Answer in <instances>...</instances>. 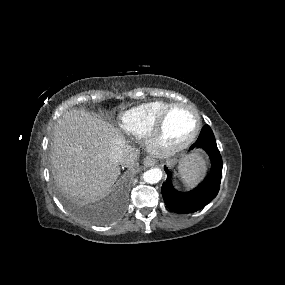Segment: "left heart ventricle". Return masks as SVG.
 <instances>
[{"label": "left heart ventricle", "instance_id": "obj_1", "mask_svg": "<svg viewBox=\"0 0 285 285\" xmlns=\"http://www.w3.org/2000/svg\"><path fill=\"white\" fill-rule=\"evenodd\" d=\"M196 126L195 115L184 108H177L169 115L162 134L165 144H176L191 135Z\"/></svg>", "mask_w": 285, "mask_h": 285}]
</instances>
